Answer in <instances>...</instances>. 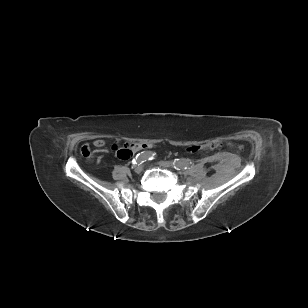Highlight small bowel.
<instances>
[{"label": "small bowel", "instance_id": "small-bowel-1", "mask_svg": "<svg viewBox=\"0 0 308 308\" xmlns=\"http://www.w3.org/2000/svg\"><path fill=\"white\" fill-rule=\"evenodd\" d=\"M93 145L97 148H103L105 146V141L103 139H96L93 142ZM118 148L114 147V150L116 151ZM139 151V150H137Z\"/></svg>", "mask_w": 308, "mask_h": 308}]
</instances>
